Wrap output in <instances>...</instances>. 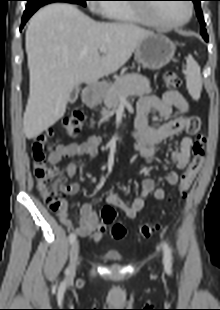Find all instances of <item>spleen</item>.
Instances as JSON below:
<instances>
[{"label": "spleen", "instance_id": "1", "mask_svg": "<svg viewBox=\"0 0 220 310\" xmlns=\"http://www.w3.org/2000/svg\"><path fill=\"white\" fill-rule=\"evenodd\" d=\"M186 82L189 94L198 100L202 90L201 72L198 63L191 55L187 58Z\"/></svg>", "mask_w": 220, "mask_h": 310}]
</instances>
